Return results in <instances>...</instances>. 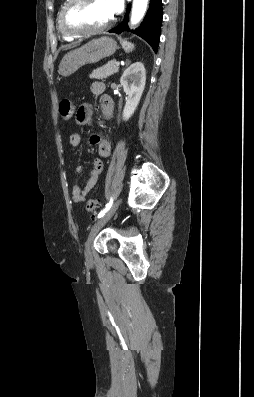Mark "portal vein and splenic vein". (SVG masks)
Returning a JSON list of instances; mask_svg holds the SVG:
<instances>
[{
  "instance_id": "18ae733b",
  "label": "portal vein and splenic vein",
  "mask_w": 254,
  "mask_h": 397,
  "mask_svg": "<svg viewBox=\"0 0 254 397\" xmlns=\"http://www.w3.org/2000/svg\"><path fill=\"white\" fill-rule=\"evenodd\" d=\"M114 63H115L116 66L120 65L119 61H115Z\"/></svg>"
}]
</instances>
